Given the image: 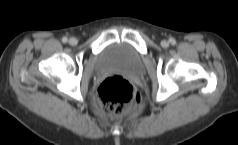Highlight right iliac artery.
Segmentation results:
<instances>
[{"label":"right iliac artery","instance_id":"1","mask_svg":"<svg viewBox=\"0 0 238 145\" xmlns=\"http://www.w3.org/2000/svg\"><path fill=\"white\" fill-rule=\"evenodd\" d=\"M63 43H66L68 41L67 37L62 38Z\"/></svg>","mask_w":238,"mask_h":145}]
</instances>
